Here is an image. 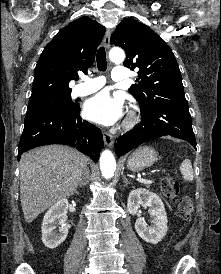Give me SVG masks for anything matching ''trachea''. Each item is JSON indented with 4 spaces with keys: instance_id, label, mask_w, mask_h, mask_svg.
<instances>
[{
    "instance_id": "1",
    "label": "trachea",
    "mask_w": 221,
    "mask_h": 274,
    "mask_svg": "<svg viewBox=\"0 0 221 274\" xmlns=\"http://www.w3.org/2000/svg\"><path fill=\"white\" fill-rule=\"evenodd\" d=\"M96 62L99 71H105L107 69L106 52L103 47H100L97 51Z\"/></svg>"
}]
</instances>
